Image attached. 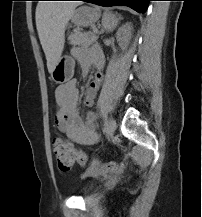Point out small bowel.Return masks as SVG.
<instances>
[{"mask_svg":"<svg viewBox=\"0 0 202 217\" xmlns=\"http://www.w3.org/2000/svg\"><path fill=\"white\" fill-rule=\"evenodd\" d=\"M72 55L79 62L84 75L88 73L91 65H94L96 69L94 78L86 86L83 98L84 104L91 106L102 82L104 61L96 52L79 48L73 49ZM80 98L76 79L58 86L55 90L57 110L54 121L58 129L64 132L73 142L82 145H95L99 141L95 130L97 114L89 111L83 118L78 110Z\"/></svg>","mask_w":202,"mask_h":217,"instance_id":"1","label":"small bowel"}]
</instances>
